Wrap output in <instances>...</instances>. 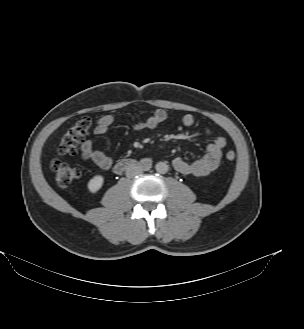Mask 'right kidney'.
<instances>
[{
    "label": "right kidney",
    "mask_w": 304,
    "mask_h": 329,
    "mask_svg": "<svg viewBox=\"0 0 304 329\" xmlns=\"http://www.w3.org/2000/svg\"><path fill=\"white\" fill-rule=\"evenodd\" d=\"M103 177L96 175L88 182V189L91 193H96L103 185Z\"/></svg>",
    "instance_id": "right-kidney-1"
}]
</instances>
